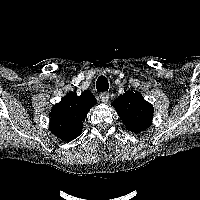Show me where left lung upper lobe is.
I'll return each mask as SVG.
<instances>
[{"label":"left lung upper lobe","mask_w":200,"mask_h":200,"mask_svg":"<svg viewBox=\"0 0 200 200\" xmlns=\"http://www.w3.org/2000/svg\"><path fill=\"white\" fill-rule=\"evenodd\" d=\"M114 106L121 120L132 132L145 130L152 122L153 106L138 92H125L114 100Z\"/></svg>","instance_id":"obj_1"}]
</instances>
